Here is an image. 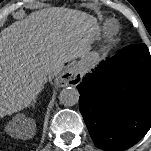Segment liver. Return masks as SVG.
I'll return each mask as SVG.
<instances>
[{
	"label": "liver",
	"mask_w": 151,
	"mask_h": 151,
	"mask_svg": "<svg viewBox=\"0 0 151 151\" xmlns=\"http://www.w3.org/2000/svg\"><path fill=\"white\" fill-rule=\"evenodd\" d=\"M96 19L85 12L53 8L32 13L0 33V118L30 105L53 69L85 60ZM35 133L28 127L27 138Z\"/></svg>",
	"instance_id": "6515ba94"
}]
</instances>
